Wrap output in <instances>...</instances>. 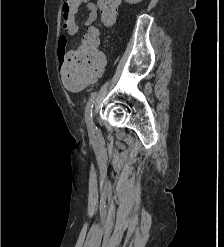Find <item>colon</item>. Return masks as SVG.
<instances>
[{
    "instance_id": "obj_1",
    "label": "colon",
    "mask_w": 224,
    "mask_h": 247,
    "mask_svg": "<svg viewBox=\"0 0 224 247\" xmlns=\"http://www.w3.org/2000/svg\"><path fill=\"white\" fill-rule=\"evenodd\" d=\"M97 4L103 24H112L116 18L120 0H97ZM80 6V0H64L61 9L62 21L68 22L75 19ZM98 45L97 34L95 31H90L84 37L78 53L60 64V74L68 88H81L102 74L104 63L99 55Z\"/></svg>"
}]
</instances>
